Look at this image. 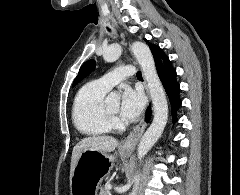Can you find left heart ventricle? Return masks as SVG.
<instances>
[{"label":"left heart ventricle","mask_w":240,"mask_h":195,"mask_svg":"<svg viewBox=\"0 0 240 195\" xmlns=\"http://www.w3.org/2000/svg\"><path fill=\"white\" fill-rule=\"evenodd\" d=\"M107 103L112 112L119 113V109H120L119 99H112V100H109Z\"/></svg>","instance_id":"obj_1"}]
</instances>
